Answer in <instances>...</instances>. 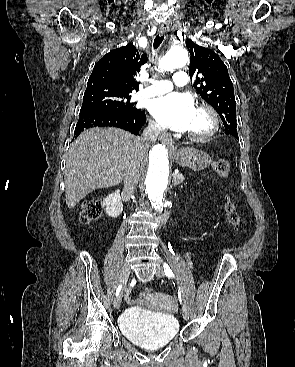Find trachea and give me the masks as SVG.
<instances>
[{
  "label": "trachea",
  "instance_id": "obj_1",
  "mask_svg": "<svg viewBox=\"0 0 295 367\" xmlns=\"http://www.w3.org/2000/svg\"><path fill=\"white\" fill-rule=\"evenodd\" d=\"M163 39H164V35H162V36L157 35L156 36V38L154 39V44H153L154 49H157L160 46Z\"/></svg>",
  "mask_w": 295,
  "mask_h": 367
}]
</instances>
